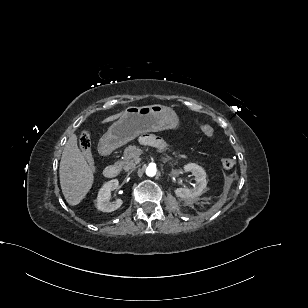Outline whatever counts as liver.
<instances>
[{
	"mask_svg": "<svg viewBox=\"0 0 308 308\" xmlns=\"http://www.w3.org/2000/svg\"><path fill=\"white\" fill-rule=\"evenodd\" d=\"M123 113L109 116L102 123L113 121ZM59 176L62 193L69 205L79 204L92 187L93 172L77 146L75 134L70 136L62 152Z\"/></svg>",
	"mask_w": 308,
	"mask_h": 308,
	"instance_id": "obj_1",
	"label": "liver"
}]
</instances>
